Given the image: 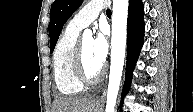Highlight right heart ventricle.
I'll return each instance as SVG.
<instances>
[{"label":"right heart ventricle","instance_id":"right-heart-ventricle-1","mask_svg":"<svg viewBox=\"0 0 193 112\" xmlns=\"http://www.w3.org/2000/svg\"><path fill=\"white\" fill-rule=\"evenodd\" d=\"M80 30L66 27L56 44L53 54V67L55 83L61 94L74 96L84 89L75 77L73 70V57Z\"/></svg>","mask_w":193,"mask_h":112}]
</instances>
